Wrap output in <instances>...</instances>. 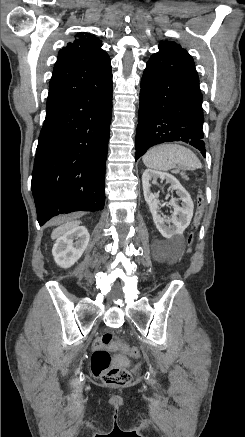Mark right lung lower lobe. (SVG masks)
I'll return each mask as SVG.
<instances>
[{
	"label": "right lung lower lobe",
	"instance_id": "98d812e1",
	"mask_svg": "<svg viewBox=\"0 0 245 437\" xmlns=\"http://www.w3.org/2000/svg\"><path fill=\"white\" fill-rule=\"evenodd\" d=\"M111 114L112 77L47 105L31 182L40 225L59 214L104 208Z\"/></svg>",
	"mask_w": 245,
	"mask_h": 437
}]
</instances>
